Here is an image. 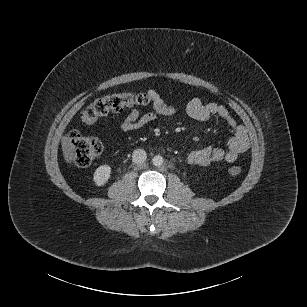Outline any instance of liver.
I'll return each instance as SVG.
<instances>
[{"label": "liver", "mask_w": 307, "mask_h": 307, "mask_svg": "<svg viewBox=\"0 0 307 307\" xmlns=\"http://www.w3.org/2000/svg\"><path fill=\"white\" fill-rule=\"evenodd\" d=\"M61 145L65 161L71 163L74 157L75 146L67 136L62 137Z\"/></svg>", "instance_id": "1"}]
</instances>
